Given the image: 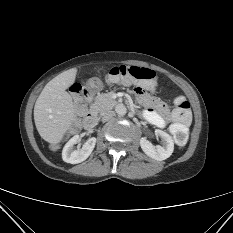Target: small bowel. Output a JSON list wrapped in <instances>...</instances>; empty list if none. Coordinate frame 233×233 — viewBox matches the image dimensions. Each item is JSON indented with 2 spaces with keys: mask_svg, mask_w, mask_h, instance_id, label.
<instances>
[{
  "mask_svg": "<svg viewBox=\"0 0 233 233\" xmlns=\"http://www.w3.org/2000/svg\"><path fill=\"white\" fill-rule=\"evenodd\" d=\"M138 99L147 106L145 118L153 125L164 128L168 124L169 110L167 106L154 97L149 96L143 88L135 89Z\"/></svg>",
  "mask_w": 233,
  "mask_h": 233,
  "instance_id": "small-bowel-1",
  "label": "small bowel"
}]
</instances>
